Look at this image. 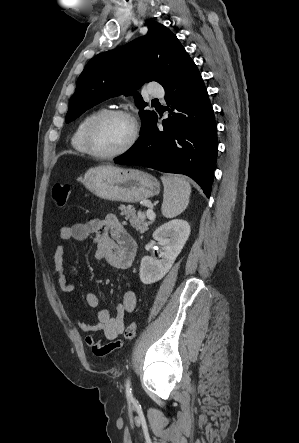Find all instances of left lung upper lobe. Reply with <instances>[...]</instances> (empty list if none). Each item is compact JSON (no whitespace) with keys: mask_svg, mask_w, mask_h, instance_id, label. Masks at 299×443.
<instances>
[{"mask_svg":"<svg viewBox=\"0 0 299 443\" xmlns=\"http://www.w3.org/2000/svg\"><path fill=\"white\" fill-rule=\"evenodd\" d=\"M193 64L169 29L158 23L152 24L145 36L98 54L88 62L70 99L66 123L108 98L133 94L140 109L141 133L156 113L144 110L147 103L136 89L150 81L166 87Z\"/></svg>","mask_w":299,"mask_h":443,"instance_id":"5c2ea615","label":"left lung upper lobe"}]
</instances>
